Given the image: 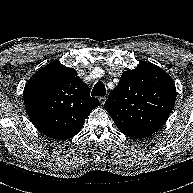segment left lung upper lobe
<instances>
[{
  "instance_id": "5c2ea615",
  "label": "left lung upper lobe",
  "mask_w": 193,
  "mask_h": 193,
  "mask_svg": "<svg viewBox=\"0 0 193 193\" xmlns=\"http://www.w3.org/2000/svg\"><path fill=\"white\" fill-rule=\"evenodd\" d=\"M175 100L173 79L161 68L143 61L122 73L104 107L123 134L142 139L161 128Z\"/></svg>"
}]
</instances>
